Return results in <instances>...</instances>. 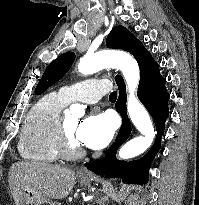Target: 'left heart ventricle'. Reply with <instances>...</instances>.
I'll return each mask as SVG.
<instances>
[{
	"instance_id": "1",
	"label": "left heart ventricle",
	"mask_w": 199,
	"mask_h": 205,
	"mask_svg": "<svg viewBox=\"0 0 199 205\" xmlns=\"http://www.w3.org/2000/svg\"><path fill=\"white\" fill-rule=\"evenodd\" d=\"M66 130L69 136L70 141L73 144L79 145L80 143L77 140L76 132L79 126V118L77 117H67L65 118Z\"/></svg>"
}]
</instances>
